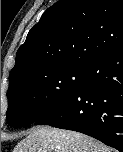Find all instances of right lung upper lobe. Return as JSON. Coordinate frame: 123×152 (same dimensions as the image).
<instances>
[{
    "instance_id": "1",
    "label": "right lung upper lobe",
    "mask_w": 123,
    "mask_h": 152,
    "mask_svg": "<svg viewBox=\"0 0 123 152\" xmlns=\"http://www.w3.org/2000/svg\"><path fill=\"white\" fill-rule=\"evenodd\" d=\"M123 44V0H59L19 48L9 88L24 76L61 67L84 69Z\"/></svg>"
}]
</instances>
